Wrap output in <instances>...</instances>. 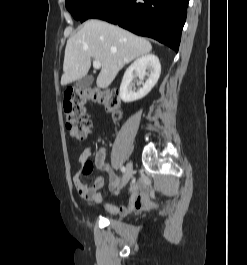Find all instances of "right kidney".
<instances>
[{
    "label": "right kidney",
    "instance_id": "1",
    "mask_svg": "<svg viewBox=\"0 0 247 265\" xmlns=\"http://www.w3.org/2000/svg\"><path fill=\"white\" fill-rule=\"evenodd\" d=\"M161 73V65L157 56L153 54L144 55L135 60L125 71L121 85L120 97L124 102H133L145 97L156 85ZM143 86L137 91L133 88L132 81L139 77Z\"/></svg>",
    "mask_w": 247,
    "mask_h": 265
}]
</instances>
